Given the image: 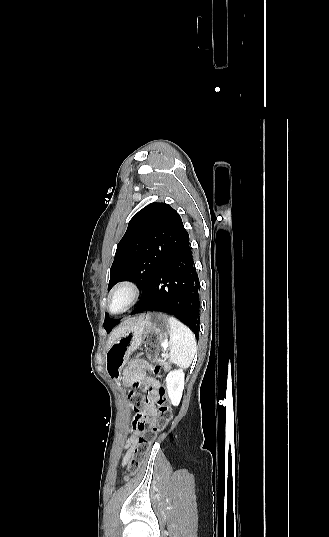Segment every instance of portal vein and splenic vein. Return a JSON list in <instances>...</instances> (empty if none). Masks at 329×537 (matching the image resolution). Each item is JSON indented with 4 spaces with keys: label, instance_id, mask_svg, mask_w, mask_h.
Returning <instances> with one entry per match:
<instances>
[{
    "label": "portal vein and splenic vein",
    "instance_id": "portal-vein-and-splenic-vein-1",
    "mask_svg": "<svg viewBox=\"0 0 329 537\" xmlns=\"http://www.w3.org/2000/svg\"><path fill=\"white\" fill-rule=\"evenodd\" d=\"M167 347H168V342L166 341V342H164V344H163V349L166 350ZM163 355H164V354H163Z\"/></svg>",
    "mask_w": 329,
    "mask_h": 537
}]
</instances>
